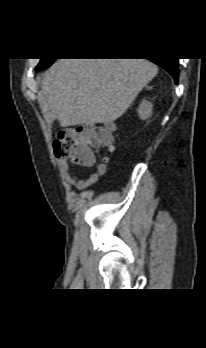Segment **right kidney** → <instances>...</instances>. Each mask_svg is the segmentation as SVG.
Wrapping results in <instances>:
<instances>
[{
    "instance_id": "ca27d5eb",
    "label": "right kidney",
    "mask_w": 206,
    "mask_h": 348,
    "mask_svg": "<svg viewBox=\"0 0 206 348\" xmlns=\"http://www.w3.org/2000/svg\"><path fill=\"white\" fill-rule=\"evenodd\" d=\"M152 104L146 100H143L138 108L139 117L144 120L152 115Z\"/></svg>"
}]
</instances>
